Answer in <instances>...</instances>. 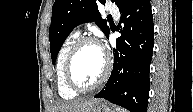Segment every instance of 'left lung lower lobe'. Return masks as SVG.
Listing matches in <instances>:
<instances>
[{"label":"left lung lower lobe","instance_id":"1","mask_svg":"<svg viewBox=\"0 0 193 112\" xmlns=\"http://www.w3.org/2000/svg\"><path fill=\"white\" fill-rule=\"evenodd\" d=\"M120 14L123 26L113 49V70L95 98H104L131 112H146L154 45L150 0H130Z\"/></svg>","mask_w":193,"mask_h":112}]
</instances>
